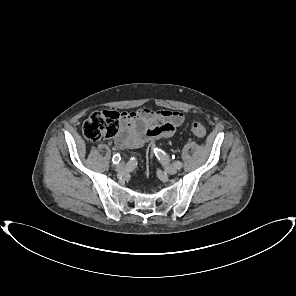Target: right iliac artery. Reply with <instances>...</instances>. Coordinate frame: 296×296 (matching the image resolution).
<instances>
[{"mask_svg":"<svg viewBox=\"0 0 296 296\" xmlns=\"http://www.w3.org/2000/svg\"><path fill=\"white\" fill-rule=\"evenodd\" d=\"M120 160H121V157H120V154H118V153L115 154L112 158V161L114 164H118Z\"/></svg>","mask_w":296,"mask_h":296,"instance_id":"right-iliac-artery-1","label":"right iliac artery"}]
</instances>
